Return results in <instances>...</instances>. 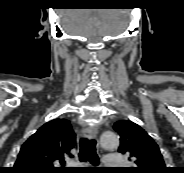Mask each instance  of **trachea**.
I'll return each mask as SVG.
<instances>
[{
	"label": "trachea",
	"instance_id": "obj_1",
	"mask_svg": "<svg viewBox=\"0 0 184 173\" xmlns=\"http://www.w3.org/2000/svg\"><path fill=\"white\" fill-rule=\"evenodd\" d=\"M96 141L88 138H81L79 160L81 162L89 161L92 165L99 164V157L96 153Z\"/></svg>",
	"mask_w": 184,
	"mask_h": 173
}]
</instances>
